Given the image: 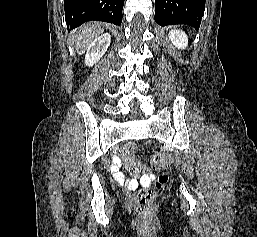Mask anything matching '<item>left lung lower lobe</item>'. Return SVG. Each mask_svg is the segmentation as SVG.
<instances>
[{
	"label": "left lung lower lobe",
	"mask_w": 257,
	"mask_h": 237,
	"mask_svg": "<svg viewBox=\"0 0 257 237\" xmlns=\"http://www.w3.org/2000/svg\"><path fill=\"white\" fill-rule=\"evenodd\" d=\"M155 21L161 26L187 24L199 29L205 0H155Z\"/></svg>",
	"instance_id": "left-lung-lower-lobe-1"
}]
</instances>
